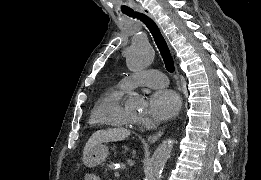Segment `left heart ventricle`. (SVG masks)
<instances>
[{"instance_id": "b2bd125f", "label": "left heart ventricle", "mask_w": 261, "mask_h": 180, "mask_svg": "<svg viewBox=\"0 0 261 180\" xmlns=\"http://www.w3.org/2000/svg\"><path fill=\"white\" fill-rule=\"evenodd\" d=\"M130 92H132V91H130ZM144 108H145V105L142 109H124L123 108L125 119L128 121H132V122L141 121V114H142V111L144 110Z\"/></svg>"}]
</instances>
